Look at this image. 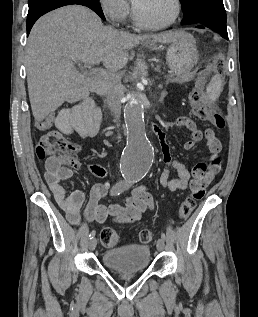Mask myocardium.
<instances>
[{
	"instance_id": "f54148a6",
	"label": "myocardium",
	"mask_w": 258,
	"mask_h": 317,
	"mask_svg": "<svg viewBox=\"0 0 258 317\" xmlns=\"http://www.w3.org/2000/svg\"><path fill=\"white\" fill-rule=\"evenodd\" d=\"M153 0H140L138 2L135 3L134 5V21L136 23L137 26L147 30V31H150V32H155V31H161V30H164V29H167L168 27H170L171 25H173L176 20L178 19L179 17V14H180V10H181V5H180V2L179 0H170L174 3L175 5V14L174 16L172 17L171 20H169L167 23L163 24V25H160L158 27H153V28H147L145 27L142 23H141V20H140V16H139V12H140V9L142 7V5L144 3H147V2H151Z\"/></svg>"
}]
</instances>
